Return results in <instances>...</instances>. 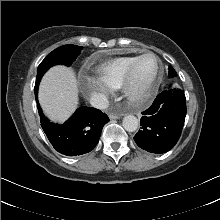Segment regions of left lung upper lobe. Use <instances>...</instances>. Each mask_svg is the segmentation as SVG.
I'll use <instances>...</instances> for the list:
<instances>
[{"mask_svg": "<svg viewBox=\"0 0 220 220\" xmlns=\"http://www.w3.org/2000/svg\"><path fill=\"white\" fill-rule=\"evenodd\" d=\"M177 74L175 72V70L170 66L169 67V76L170 77H175Z\"/></svg>", "mask_w": 220, "mask_h": 220, "instance_id": "5c2ea615", "label": "left lung upper lobe"}]
</instances>
